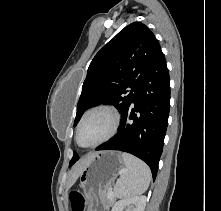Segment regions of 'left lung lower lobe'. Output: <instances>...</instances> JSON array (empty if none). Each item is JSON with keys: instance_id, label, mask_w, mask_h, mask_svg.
Listing matches in <instances>:
<instances>
[{"instance_id": "left-lung-lower-lobe-1", "label": "left lung lower lobe", "mask_w": 221, "mask_h": 211, "mask_svg": "<svg viewBox=\"0 0 221 211\" xmlns=\"http://www.w3.org/2000/svg\"><path fill=\"white\" fill-rule=\"evenodd\" d=\"M170 79L162 51L149 67L130 106L122 115L118 134L96 148L119 150L146 162L155 180L168 125Z\"/></svg>"}]
</instances>
